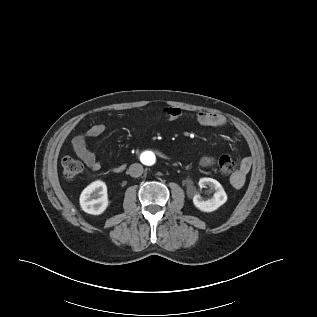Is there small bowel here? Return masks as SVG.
Listing matches in <instances>:
<instances>
[{"label": "small bowel", "mask_w": 317, "mask_h": 317, "mask_svg": "<svg viewBox=\"0 0 317 317\" xmlns=\"http://www.w3.org/2000/svg\"><path fill=\"white\" fill-rule=\"evenodd\" d=\"M163 115L168 120H177L183 113L178 107H166L163 109ZM196 119L199 124L208 127H224L226 125V119L219 113L201 111L197 113ZM105 126L103 124H94L91 126L85 134L78 135L72 140V149L74 153L86 164V166L92 171H98L101 168L100 162L97 160L95 154L89 149L86 143V137H95L104 132ZM215 162V158L212 156H203L200 160V164L203 167L212 166ZM251 167V159L244 157L241 160L240 169L231 177V184L235 188L243 186L246 175ZM121 170V167L113 168L114 172Z\"/></svg>", "instance_id": "obj_1"}]
</instances>
